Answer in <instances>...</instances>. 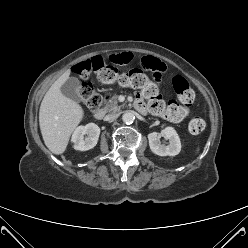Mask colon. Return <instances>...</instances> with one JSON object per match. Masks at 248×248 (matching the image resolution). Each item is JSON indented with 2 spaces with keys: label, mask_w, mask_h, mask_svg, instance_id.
Instances as JSON below:
<instances>
[{
  "label": "colon",
  "mask_w": 248,
  "mask_h": 248,
  "mask_svg": "<svg viewBox=\"0 0 248 248\" xmlns=\"http://www.w3.org/2000/svg\"><path fill=\"white\" fill-rule=\"evenodd\" d=\"M91 69L98 70V80L103 84H118L122 87L140 89L148 99L149 110L153 114L166 117L172 121L181 119L185 113V107H190L195 100L193 89L182 76L178 75L172 79V86L179 103L166 104L159 94L157 84L140 70L134 69L119 73L113 66H104L103 58L97 57L76 67V73L82 80L78 88V95L91 112L97 111L102 105L101 96L94 90L89 80ZM188 128L192 134H199L205 129V121L200 116H194L190 120Z\"/></svg>",
  "instance_id": "obj_1"
}]
</instances>
